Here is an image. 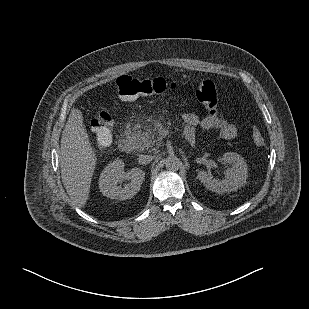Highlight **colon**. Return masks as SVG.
<instances>
[{
    "mask_svg": "<svg viewBox=\"0 0 309 309\" xmlns=\"http://www.w3.org/2000/svg\"><path fill=\"white\" fill-rule=\"evenodd\" d=\"M116 86L120 99L126 102L176 89L175 84L163 78L139 80L129 76L120 77L116 82ZM195 97L210 115H216L219 97L215 84L211 80H204L198 84ZM105 103L110 105L111 100L106 99ZM113 125V117L109 111H101L92 117L90 126L99 145H109L112 140ZM251 137L257 147L264 146L265 140L258 128H251Z\"/></svg>",
    "mask_w": 309,
    "mask_h": 309,
    "instance_id": "obj_1",
    "label": "colon"
}]
</instances>
